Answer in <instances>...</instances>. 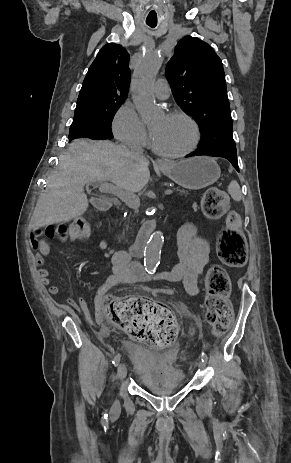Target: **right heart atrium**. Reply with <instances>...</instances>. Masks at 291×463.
Returning <instances> with one entry per match:
<instances>
[{
  "label": "right heart atrium",
  "mask_w": 291,
  "mask_h": 463,
  "mask_svg": "<svg viewBox=\"0 0 291 463\" xmlns=\"http://www.w3.org/2000/svg\"><path fill=\"white\" fill-rule=\"evenodd\" d=\"M115 137L131 146H145L148 143L147 130L131 103H124L116 112L112 122Z\"/></svg>",
  "instance_id": "d8ad5b80"
}]
</instances>
